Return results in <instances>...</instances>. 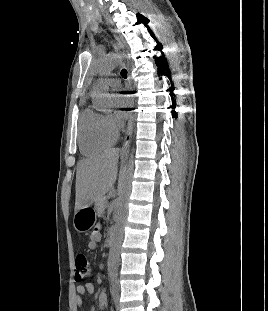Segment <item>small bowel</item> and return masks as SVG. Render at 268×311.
<instances>
[{
	"instance_id": "1",
	"label": "small bowel",
	"mask_w": 268,
	"mask_h": 311,
	"mask_svg": "<svg viewBox=\"0 0 268 311\" xmlns=\"http://www.w3.org/2000/svg\"><path fill=\"white\" fill-rule=\"evenodd\" d=\"M101 240V234L98 231L92 232L90 240L87 243V247L90 250L96 249L98 243ZM95 288L94 285L90 282L81 283L76 286L74 301L78 308L83 306V298L88 295L94 294ZM107 306V295L102 289L97 295V310L103 311Z\"/></svg>"
}]
</instances>
